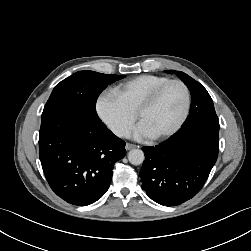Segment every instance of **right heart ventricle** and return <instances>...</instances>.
<instances>
[{"mask_svg": "<svg viewBox=\"0 0 251 251\" xmlns=\"http://www.w3.org/2000/svg\"><path fill=\"white\" fill-rule=\"evenodd\" d=\"M170 80L166 76L140 75L119 84L115 91L127 106L136 113L140 104L161 84Z\"/></svg>", "mask_w": 251, "mask_h": 251, "instance_id": "1", "label": "right heart ventricle"}]
</instances>
